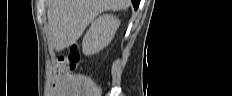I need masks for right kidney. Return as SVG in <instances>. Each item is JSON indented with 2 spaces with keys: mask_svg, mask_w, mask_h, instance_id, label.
Instances as JSON below:
<instances>
[{
  "mask_svg": "<svg viewBox=\"0 0 232 96\" xmlns=\"http://www.w3.org/2000/svg\"><path fill=\"white\" fill-rule=\"evenodd\" d=\"M119 25L120 21L111 14L98 17L83 38V53L93 55L101 51L111 42Z\"/></svg>",
  "mask_w": 232,
  "mask_h": 96,
  "instance_id": "1",
  "label": "right kidney"
}]
</instances>
